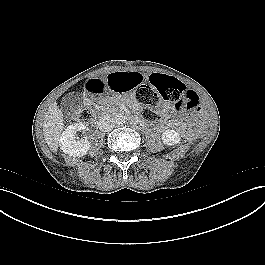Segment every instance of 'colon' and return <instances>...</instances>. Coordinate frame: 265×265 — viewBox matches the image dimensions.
I'll use <instances>...</instances> for the list:
<instances>
[{
    "instance_id": "obj_1",
    "label": "colon",
    "mask_w": 265,
    "mask_h": 265,
    "mask_svg": "<svg viewBox=\"0 0 265 265\" xmlns=\"http://www.w3.org/2000/svg\"><path fill=\"white\" fill-rule=\"evenodd\" d=\"M150 85H141L136 90V99L142 106L141 115L149 121L158 120L157 110L163 102L172 103L178 112H194L200 108V100L197 93L188 89L180 80L165 76L156 71L150 75ZM93 112L89 109L83 110L79 117L89 120Z\"/></svg>"
}]
</instances>
